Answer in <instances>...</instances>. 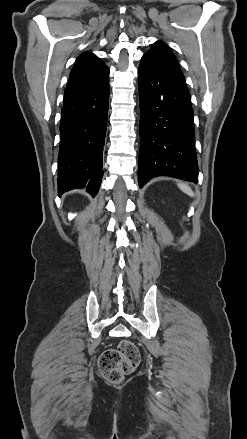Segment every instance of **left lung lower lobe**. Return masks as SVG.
I'll use <instances>...</instances> for the list:
<instances>
[{"mask_svg": "<svg viewBox=\"0 0 247 439\" xmlns=\"http://www.w3.org/2000/svg\"><path fill=\"white\" fill-rule=\"evenodd\" d=\"M140 188L152 177L166 175L197 182L193 144V110L187 86L141 60Z\"/></svg>", "mask_w": 247, "mask_h": 439, "instance_id": "obj_1", "label": "left lung lower lobe"}]
</instances>
